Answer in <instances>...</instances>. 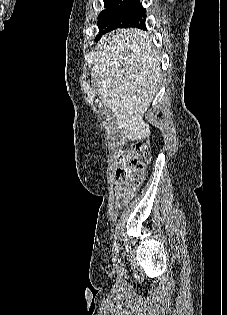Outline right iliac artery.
<instances>
[{"instance_id": "1", "label": "right iliac artery", "mask_w": 227, "mask_h": 315, "mask_svg": "<svg viewBox=\"0 0 227 315\" xmlns=\"http://www.w3.org/2000/svg\"><path fill=\"white\" fill-rule=\"evenodd\" d=\"M114 250L116 252V254L119 252V244H117L116 242H114Z\"/></svg>"}]
</instances>
